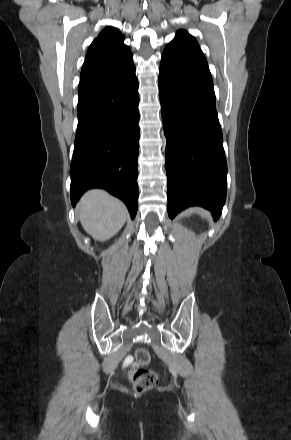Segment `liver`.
Masks as SVG:
<instances>
[{
	"label": "liver",
	"mask_w": 291,
	"mask_h": 440,
	"mask_svg": "<svg viewBox=\"0 0 291 440\" xmlns=\"http://www.w3.org/2000/svg\"><path fill=\"white\" fill-rule=\"evenodd\" d=\"M78 209L84 230L98 241H106L116 235L128 216L125 205L119 199L99 189L85 193Z\"/></svg>",
	"instance_id": "1"
}]
</instances>
